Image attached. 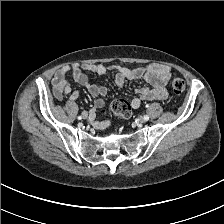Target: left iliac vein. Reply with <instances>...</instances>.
<instances>
[{
    "label": "left iliac vein",
    "instance_id": "left-iliac-vein-1",
    "mask_svg": "<svg viewBox=\"0 0 224 224\" xmlns=\"http://www.w3.org/2000/svg\"><path fill=\"white\" fill-rule=\"evenodd\" d=\"M139 122H140V123H145V122H146L144 116H141V117L139 118Z\"/></svg>",
    "mask_w": 224,
    "mask_h": 224
}]
</instances>
